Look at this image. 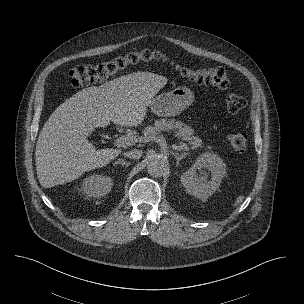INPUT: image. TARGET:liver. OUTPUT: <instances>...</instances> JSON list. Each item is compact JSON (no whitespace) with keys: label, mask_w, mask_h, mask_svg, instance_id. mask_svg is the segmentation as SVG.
Listing matches in <instances>:
<instances>
[{"label":"liver","mask_w":304,"mask_h":304,"mask_svg":"<svg viewBox=\"0 0 304 304\" xmlns=\"http://www.w3.org/2000/svg\"><path fill=\"white\" fill-rule=\"evenodd\" d=\"M168 80L151 72H134L99 87H88L67 99L44 124L35 151L38 180L51 188L107 165L120 150H96L88 137L95 128L133 127L144 120L153 97Z\"/></svg>","instance_id":"6515ba94"}]
</instances>
